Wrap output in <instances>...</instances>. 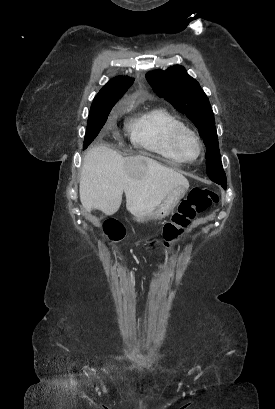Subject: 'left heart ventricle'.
I'll use <instances>...</instances> for the list:
<instances>
[{"label":"left heart ventricle","instance_id":"b2bd125f","mask_svg":"<svg viewBox=\"0 0 275 409\" xmlns=\"http://www.w3.org/2000/svg\"><path fill=\"white\" fill-rule=\"evenodd\" d=\"M196 151L195 143L190 137L185 136L181 139L178 145V153L181 157H193L195 156Z\"/></svg>","mask_w":275,"mask_h":409}]
</instances>
